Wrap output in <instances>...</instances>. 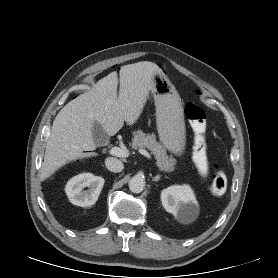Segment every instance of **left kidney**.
<instances>
[{"label":"left kidney","instance_id":"left-kidney-1","mask_svg":"<svg viewBox=\"0 0 278 278\" xmlns=\"http://www.w3.org/2000/svg\"><path fill=\"white\" fill-rule=\"evenodd\" d=\"M164 209L181 223H191L199 213V205L192 188L187 185H173L161 193Z\"/></svg>","mask_w":278,"mask_h":278}]
</instances>
